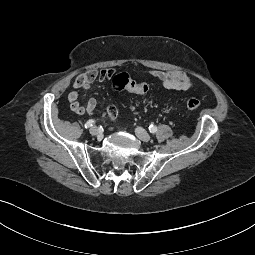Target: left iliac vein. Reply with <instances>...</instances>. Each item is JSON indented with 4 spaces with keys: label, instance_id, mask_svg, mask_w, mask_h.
<instances>
[{
    "label": "left iliac vein",
    "instance_id": "1",
    "mask_svg": "<svg viewBox=\"0 0 255 255\" xmlns=\"http://www.w3.org/2000/svg\"><path fill=\"white\" fill-rule=\"evenodd\" d=\"M135 133H136V136H137L140 140H142V141H144V142H148V141H150V139H151V136H150L143 128H141V127H137V128L135 129Z\"/></svg>",
    "mask_w": 255,
    "mask_h": 255
}]
</instances>
